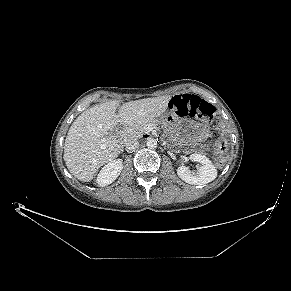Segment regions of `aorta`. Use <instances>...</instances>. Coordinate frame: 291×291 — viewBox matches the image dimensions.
Instances as JSON below:
<instances>
[{
	"instance_id": "obj_1",
	"label": "aorta",
	"mask_w": 291,
	"mask_h": 291,
	"mask_svg": "<svg viewBox=\"0 0 291 291\" xmlns=\"http://www.w3.org/2000/svg\"><path fill=\"white\" fill-rule=\"evenodd\" d=\"M147 147L150 149H155L157 147V140L154 138L147 139Z\"/></svg>"
}]
</instances>
